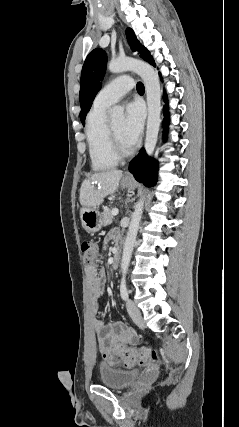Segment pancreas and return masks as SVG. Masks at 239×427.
I'll list each match as a JSON object with an SVG mask.
<instances>
[{"label": "pancreas", "mask_w": 239, "mask_h": 427, "mask_svg": "<svg viewBox=\"0 0 239 427\" xmlns=\"http://www.w3.org/2000/svg\"><path fill=\"white\" fill-rule=\"evenodd\" d=\"M102 218H103V225L104 226L111 224L112 220H113L112 211L109 208L104 209V211L102 213Z\"/></svg>", "instance_id": "cf45deb5"}]
</instances>
